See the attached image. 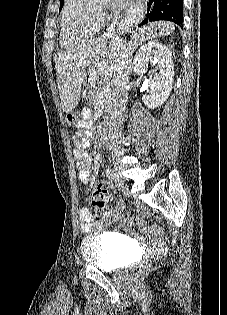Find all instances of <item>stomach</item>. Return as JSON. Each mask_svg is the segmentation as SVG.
<instances>
[{
  "label": "stomach",
  "mask_w": 227,
  "mask_h": 315,
  "mask_svg": "<svg viewBox=\"0 0 227 315\" xmlns=\"http://www.w3.org/2000/svg\"><path fill=\"white\" fill-rule=\"evenodd\" d=\"M98 70L97 68H88L84 80L80 81V89L81 91H90L91 90V82H94L97 77ZM72 116V121H68L69 123H73V118H75L74 114H70Z\"/></svg>",
  "instance_id": "0dacf381"
}]
</instances>
